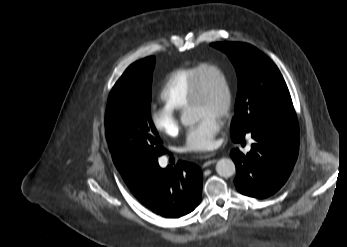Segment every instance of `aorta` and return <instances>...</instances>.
Instances as JSON below:
<instances>
[{"label": "aorta", "instance_id": "762f6f07", "mask_svg": "<svg viewBox=\"0 0 347 247\" xmlns=\"http://www.w3.org/2000/svg\"><path fill=\"white\" fill-rule=\"evenodd\" d=\"M197 120V116L191 109L185 110L181 115V123L185 126L193 125ZM216 171L220 176L228 178L235 174L236 167L231 159L222 158L216 164Z\"/></svg>", "mask_w": 347, "mask_h": 247}]
</instances>
